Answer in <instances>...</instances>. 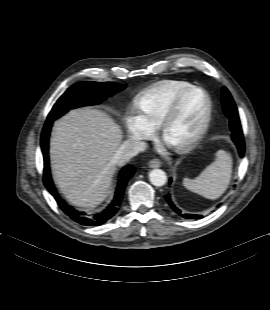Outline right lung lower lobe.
Returning a JSON list of instances; mask_svg holds the SVG:
<instances>
[{"label": "right lung lower lobe", "instance_id": "1", "mask_svg": "<svg viewBox=\"0 0 270 310\" xmlns=\"http://www.w3.org/2000/svg\"><path fill=\"white\" fill-rule=\"evenodd\" d=\"M52 124L53 120H47L41 134V148L44 157V185L54 196L62 211L75 222L86 226H99L104 224L117 213L124 194V189L128 180L134 174L135 168L132 165H128L121 170L114 199L102 212L93 215H87L86 213L77 211L75 208L69 206L63 199H61L51 178L48 157V141Z\"/></svg>", "mask_w": 270, "mask_h": 310}]
</instances>
